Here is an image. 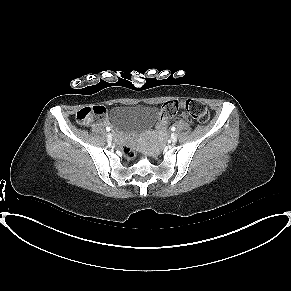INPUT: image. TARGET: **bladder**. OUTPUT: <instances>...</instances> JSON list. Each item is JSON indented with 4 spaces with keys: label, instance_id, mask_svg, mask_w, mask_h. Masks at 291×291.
<instances>
[{
    "label": "bladder",
    "instance_id": "obj_1",
    "mask_svg": "<svg viewBox=\"0 0 291 291\" xmlns=\"http://www.w3.org/2000/svg\"><path fill=\"white\" fill-rule=\"evenodd\" d=\"M156 108L146 105L116 104L109 113L113 131L130 134L142 131L155 123Z\"/></svg>",
    "mask_w": 291,
    "mask_h": 291
}]
</instances>
